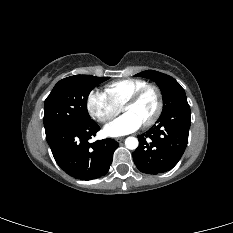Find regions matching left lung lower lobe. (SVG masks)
Here are the masks:
<instances>
[{
  "label": "left lung lower lobe",
  "instance_id": "left-lung-lower-lobe-1",
  "mask_svg": "<svg viewBox=\"0 0 233 233\" xmlns=\"http://www.w3.org/2000/svg\"><path fill=\"white\" fill-rule=\"evenodd\" d=\"M190 124L187 101L161 114L156 124L139 136V146L132 153L137 168L147 174L171 170L186 149Z\"/></svg>",
  "mask_w": 233,
  "mask_h": 233
}]
</instances>
